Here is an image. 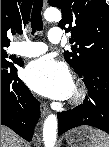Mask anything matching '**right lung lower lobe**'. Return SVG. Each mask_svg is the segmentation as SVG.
Returning <instances> with one entry per match:
<instances>
[{"instance_id":"right-lung-lower-lobe-1","label":"right lung lower lobe","mask_w":109,"mask_h":147,"mask_svg":"<svg viewBox=\"0 0 109 147\" xmlns=\"http://www.w3.org/2000/svg\"><path fill=\"white\" fill-rule=\"evenodd\" d=\"M39 105L18 78L17 68L12 63L1 64V124L30 141L40 116Z\"/></svg>"}]
</instances>
